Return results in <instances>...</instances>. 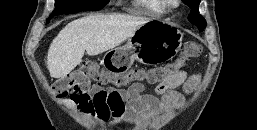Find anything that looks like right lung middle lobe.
<instances>
[{"label": "right lung middle lobe", "instance_id": "1", "mask_svg": "<svg viewBox=\"0 0 257 130\" xmlns=\"http://www.w3.org/2000/svg\"><path fill=\"white\" fill-rule=\"evenodd\" d=\"M108 2L109 0H55V11L47 19V22H49L52 16L57 14H69L85 10H93L101 8Z\"/></svg>", "mask_w": 257, "mask_h": 130}]
</instances>
